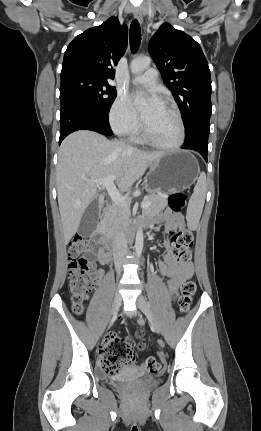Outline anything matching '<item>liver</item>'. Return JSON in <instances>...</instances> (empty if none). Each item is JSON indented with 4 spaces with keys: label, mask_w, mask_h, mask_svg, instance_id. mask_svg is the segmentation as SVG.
I'll return each mask as SVG.
<instances>
[{
    "label": "liver",
    "mask_w": 261,
    "mask_h": 431,
    "mask_svg": "<svg viewBox=\"0 0 261 431\" xmlns=\"http://www.w3.org/2000/svg\"><path fill=\"white\" fill-rule=\"evenodd\" d=\"M162 155L129 148L88 130L66 137L59 148L57 165V195L65 243L78 231L83 214L94 199L98 197L99 204L104 200L90 180L114 176L121 190H130Z\"/></svg>",
    "instance_id": "1"
}]
</instances>
